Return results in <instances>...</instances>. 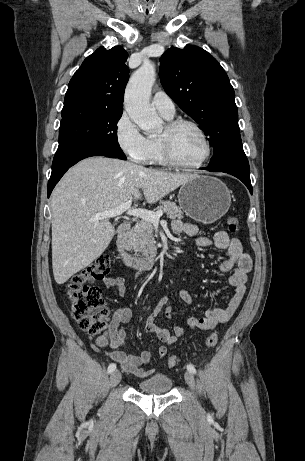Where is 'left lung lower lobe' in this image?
Segmentation results:
<instances>
[{
  "label": "left lung lower lobe",
  "instance_id": "1",
  "mask_svg": "<svg viewBox=\"0 0 305 461\" xmlns=\"http://www.w3.org/2000/svg\"><path fill=\"white\" fill-rule=\"evenodd\" d=\"M202 169L212 171V172H225V173L231 174V175L237 177L238 179H240L247 186L250 193L252 194L253 190H252V185H251V181H250V170L242 169L241 167H239L237 165H231V166L223 167V168H219V169H212V168H209V167L208 168H202Z\"/></svg>",
  "mask_w": 305,
  "mask_h": 461
}]
</instances>
